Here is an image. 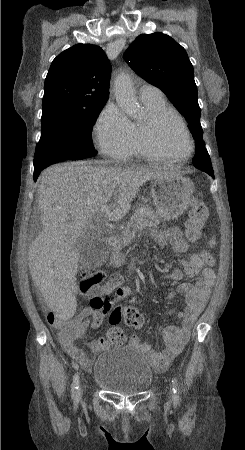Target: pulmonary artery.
<instances>
[{
	"instance_id": "e3ab8cb5",
	"label": "pulmonary artery",
	"mask_w": 245,
	"mask_h": 450,
	"mask_svg": "<svg viewBox=\"0 0 245 450\" xmlns=\"http://www.w3.org/2000/svg\"><path fill=\"white\" fill-rule=\"evenodd\" d=\"M139 97L141 100H147L163 97V94L157 87L145 83L139 88Z\"/></svg>"
}]
</instances>
